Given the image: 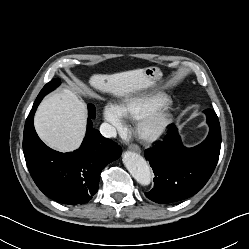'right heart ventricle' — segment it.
<instances>
[{"instance_id": "e07e8e85", "label": "right heart ventricle", "mask_w": 249, "mask_h": 249, "mask_svg": "<svg viewBox=\"0 0 249 249\" xmlns=\"http://www.w3.org/2000/svg\"><path fill=\"white\" fill-rule=\"evenodd\" d=\"M168 102V97L160 93L143 94L126 99L120 106L121 114L130 119H139L152 109Z\"/></svg>"}]
</instances>
